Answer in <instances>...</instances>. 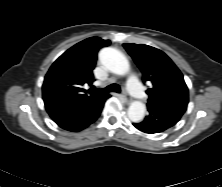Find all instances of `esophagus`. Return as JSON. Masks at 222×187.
I'll return each instance as SVG.
<instances>
[{"mask_svg":"<svg viewBox=\"0 0 222 187\" xmlns=\"http://www.w3.org/2000/svg\"><path fill=\"white\" fill-rule=\"evenodd\" d=\"M121 99L125 102V103H130L131 102V99L126 97V96H121Z\"/></svg>","mask_w":222,"mask_h":187,"instance_id":"obj_1","label":"esophagus"}]
</instances>
